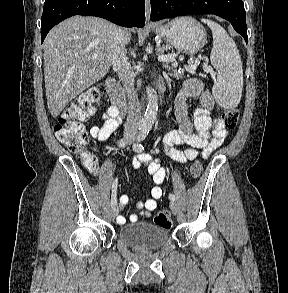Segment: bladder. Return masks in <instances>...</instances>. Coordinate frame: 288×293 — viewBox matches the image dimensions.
Listing matches in <instances>:
<instances>
[{"instance_id": "31cf9c89", "label": "bladder", "mask_w": 288, "mask_h": 293, "mask_svg": "<svg viewBox=\"0 0 288 293\" xmlns=\"http://www.w3.org/2000/svg\"><path fill=\"white\" fill-rule=\"evenodd\" d=\"M119 238L129 246L137 249H157L169 240L166 228L150 222H136L122 226L118 232Z\"/></svg>"}]
</instances>
